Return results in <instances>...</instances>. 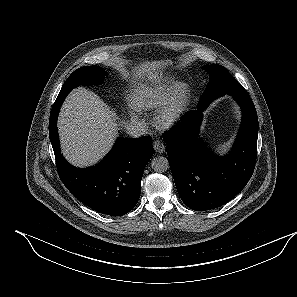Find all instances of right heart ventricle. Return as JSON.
Here are the masks:
<instances>
[{
    "label": "right heart ventricle",
    "mask_w": 297,
    "mask_h": 297,
    "mask_svg": "<svg viewBox=\"0 0 297 297\" xmlns=\"http://www.w3.org/2000/svg\"><path fill=\"white\" fill-rule=\"evenodd\" d=\"M177 82L168 80L163 83L141 85L133 93V103L142 109H154L162 105L177 87Z\"/></svg>",
    "instance_id": "1"
}]
</instances>
